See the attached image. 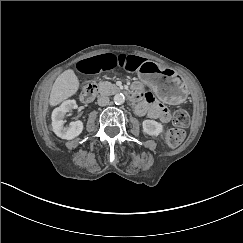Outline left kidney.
I'll use <instances>...</instances> for the list:
<instances>
[{"mask_svg": "<svg viewBox=\"0 0 243 243\" xmlns=\"http://www.w3.org/2000/svg\"><path fill=\"white\" fill-rule=\"evenodd\" d=\"M143 133L150 136H158L163 131V126L154 120H144L142 123Z\"/></svg>", "mask_w": 243, "mask_h": 243, "instance_id": "1", "label": "left kidney"}]
</instances>
